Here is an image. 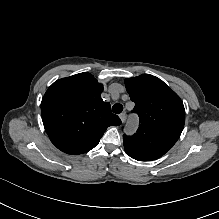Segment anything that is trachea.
<instances>
[{
	"mask_svg": "<svg viewBox=\"0 0 219 219\" xmlns=\"http://www.w3.org/2000/svg\"><path fill=\"white\" fill-rule=\"evenodd\" d=\"M112 111L115 113V114H120L122 111H123V106L121 104H115L113 105L112 107Z\"/></svg>",
	"mask_w": 219,
	"mask_h": 219,
	"instance_id": "3493384b",
	"label": "trachea"
}]
</instances>
